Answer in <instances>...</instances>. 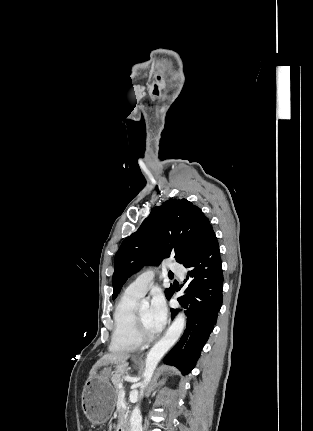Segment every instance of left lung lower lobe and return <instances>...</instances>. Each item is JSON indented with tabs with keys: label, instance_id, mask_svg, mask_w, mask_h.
Wrapping results in <instances>:
<instances>
[{
	"label": "left lung lower lobe",
	"instance_id": "obj_1",
	"mask_svg": "<svg viewBox=\"0 0 313 431\" xmlns=\"http://www.w3.org/2000/svg\"><path fill=\"white\" fill-rule=\"evenodd\" d=\"M188 275L186 295L178 299L188 320L180 341L165 357L167 364L177 367L188 374L200 356L210 333L217 321L222 305L223 272L220 250L216 235L210 225L194 255L184 264ZM174 294L170 293L168 299ZM172 319L178 310L171 309Z\"/></svg>",
	"mask_w": 313,
	"mask_h": 431
}]
</instances>
